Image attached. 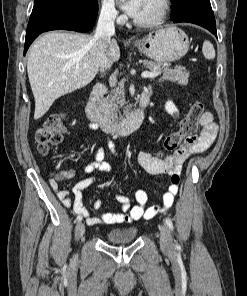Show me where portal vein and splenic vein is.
Here are the masks:
<instances>
[{
  "label": "portal vein and splenic vein",
  "instance_id": "18ae733b",
  "mask_svg": "<svg viewBox=\"0 0 247 296\" xmlns=\"http://www.w3.org/2000/svg\"><path fill=\"white\" fill-rule=\"evenodd\" d=\"M85 67H87V66L85 65ZM160 74H161V71H154V72L144 71V72H142L141 76L143 78H154V77H157Z\"/></svg>",
  "mask_w": 247,
  "mask_h": 296
}]
</instances>
